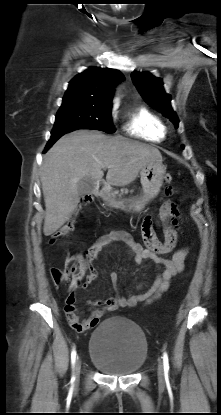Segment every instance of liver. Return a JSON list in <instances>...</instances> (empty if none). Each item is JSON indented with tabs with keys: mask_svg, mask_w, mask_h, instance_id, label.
Wrapping results in <instances>:
<instances>
[{
	"mask_svg": "<svg viewBox=\"0 0 221 415\" xmlns=\"http://www.w3.org/2000/svg\"><path fill=\"white\" fill-rule=\"evenodd\" d=\"M162 163L158 149L99 131L77 130L61 137L46 153L42 163L45 202L43 232L50 236L71 217L79 204L77 183L83 177L103 178L112 186L133 182L149 163Z\"/></svg>",
	"mask_w": 221,
	"mask_h": 415,
	"instance_id": "liver-1",
	"label": "liver"
}]
</instances>
